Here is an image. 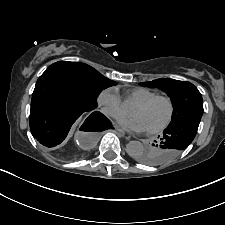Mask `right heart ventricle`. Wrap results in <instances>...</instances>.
I'll return each instance as SVG.
<instances>
[{
	"instance_id": "obj_1",
	"label": "right heart ventricle",
	"mask_w": 225,
	"mask_h": 225,
	"mask_svg": "<svg viewBox=\"0 0 225 225\" xmlns=\"http://www.w3.org/2000/svg\"><path fill=\"white\" fill-rule=\"evenodd\" d=\"M157 95V93L153 90L139 87L134 88L132 90L127 91L126 100L130 103L136 104L138 102L147 100L153 96Z\"/></svg>"
}]
</instances>
